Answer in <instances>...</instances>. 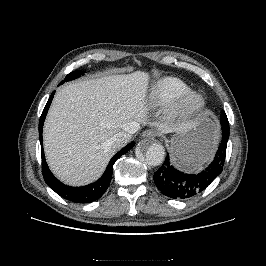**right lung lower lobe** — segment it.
<instances>
[{
  "mask_svg": "<svg viewBox=\"0 0 266 266\" xmlns=\"http://www.w3.org/2000/svg\"><path fill=\"white\" fill-rule=\"evenodd\" d=\"M54 93L55 92H53L52 95L50 96L39 120V137H40V143H41L42 173H43L44 180L52 190H54L57 194H59L61 197L67 200H70L76 203L93 202L99 199L107 190L110 184V181H111L113 165L115 161L121 155L129 151L134 146L135 143L134 142L129 143L110 160L104 174L98 181L92 184H89L87 186H84V187H70V186L64 185L63 183L58 181L53 176L51 171L49 170L48 165L45 160L44 152H43V141H42L43 123H44L47 111L49 109V106L51 104V101L53 99Z\"/></svg>",
  "mask_w": 266,
  "mask_h": 266,
  "instance_id": "98d812e1",
  "label": "right lung lower lobe"
}]
</instances>
